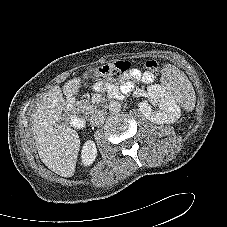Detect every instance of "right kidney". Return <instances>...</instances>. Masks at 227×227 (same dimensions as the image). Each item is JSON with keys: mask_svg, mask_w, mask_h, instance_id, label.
<instances>
[{"mask_svg": "<svg viewBox=\"0 0 227 227\" xmlns=\"http://www.w3.org/2000/svg\"><path fill=\"white\" fill-rule=\"evenodd\" d=\"M97 148L92 140H87L82 148L81 158L85 166H90L96 159Z\"/></svg>", "mask_w": 227, "mask_h": 227, "instance_id": "right-kidney-1", "label": "right kidney"}]
</instances>
